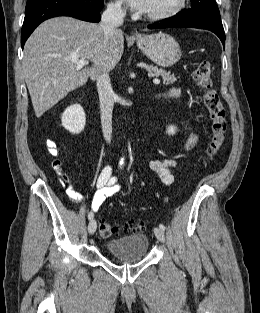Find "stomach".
I'll return each instance as SVG.
<instances>
[{
  "label": "stomach",
  "instance_id": "1",
  "mask_svg": "<svg viewBox=\"0 0 260 313\" xmlns=\"http://www.w3.org/2000/svg\"><path fill=\"white\" fill-rule=\"evenodd\" d=\"M136 41L142 52L161 67H171L181 58L178 42L166 33L142 35Z\"/></svg>",
  "mask_w": 260,
  "mask_h": 313
}]
</instances>
